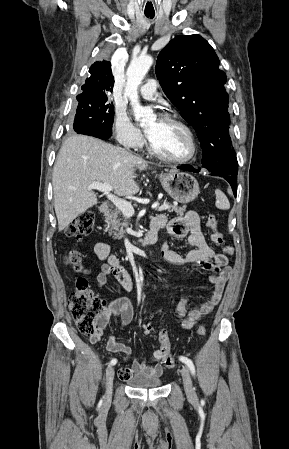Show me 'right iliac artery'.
Segmentation results:
<instances>
[{
    "label": "right iliac artery",
    "instance_id": "82829eb1",
    "mask_svg": "<svg viewBox=\"0 0 289 449\" xmlns=\"http://www.w3.org/2000/svg\"><path fill=\"white\" fill-rule=\"evenodd\" d=\"M116 363H117V360H116V359H112V360L110 361L109 365H115Z\"/></svg>",
    "mask_w": 289,
    "mask_h": 449
}]
</instances>
